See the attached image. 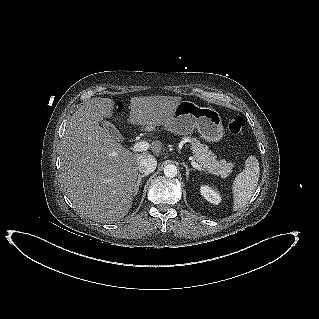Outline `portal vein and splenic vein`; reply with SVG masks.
<instances>
[{
	"label": "portal vein and splenic vein",
	"instance_id": "1",
	"mask_svg": "<svg viewBox=\"0 0 319 319\" xmlns=\"http://www.w3.org/2000/svg\"><path fill=\"white\" fill-rule=\"evenodd\" d=\"M149 148H150L149 143H147L146 141H140V142H137V143H135V144L133 145L132 150H133L134 152H142V151L148 150ZM191 165H192L195 169H197V170H199V171H203V170H204V169L202 168V166H201L200 164L196 163L195 161H192V162H191Z\"/></svg>",
	"mask_w": 319,
	"mask_h": 319
}]
</instances>
